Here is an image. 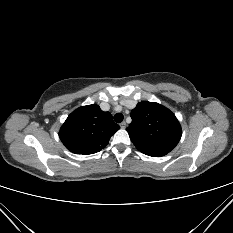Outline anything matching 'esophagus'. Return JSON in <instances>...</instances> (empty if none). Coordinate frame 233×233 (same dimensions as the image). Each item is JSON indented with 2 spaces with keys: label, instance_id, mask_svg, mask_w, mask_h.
Wrapping results in <instances>:
<instances>
[{
  "label": "esophagus",
  "instance_id": "1",
  "mask_svg": "<svg viewBox=\"0 0 233 233\" xmlns=\"http://www.w3.org/2000/svg\"><path fill=\"white\" fill-rule=\"evenodd\" d=\"M126 122L125 121H123V122H121L120 123V127L122 128V129H125L126 128Z\"/></svg>",
  "mask_w": 233,
  "mask_h": 233
}]
</instances>
